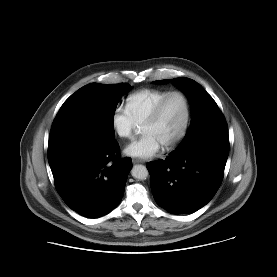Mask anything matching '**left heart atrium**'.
<instances>
[{"label": "left heart atrium", "instance_id": "1", "mask_svg": "<svg viewBox=\"0 0 277 277\" xmlns=\"http://www.w3.org/2000/svg\"><path fill=\"white\" fill-rule=\"evenodd\" d=\"M162 149L161 143L150 133H145L139 139L128 144L124 152L127 156L147 159L155 156Z\"/></svg>", "mask_w": 277, "mask_h": 277}]
</instances>
